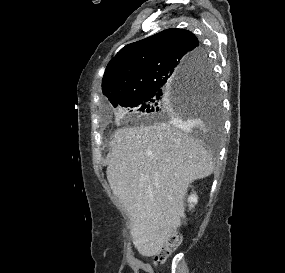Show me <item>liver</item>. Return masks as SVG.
<instances>
[{
	"label": "liver",
	"mask_w": 285,
	"mask_h": 273,
	"mask_svg": "<svg viewBox=\"0 0 285 273\" xmlns=\"http://www.w3.org/2000/svg\"><path fill=\"white\" fill-rule=\"evenodd\" d=\"M181 130L166 123L123 127L111 141L107 179L131 217L133 244L143 256L159 254L177 235L189 185L214 171L210 153Z\"/></svg>",
	"instance_id": "6515ba94"
}]
</instances>
